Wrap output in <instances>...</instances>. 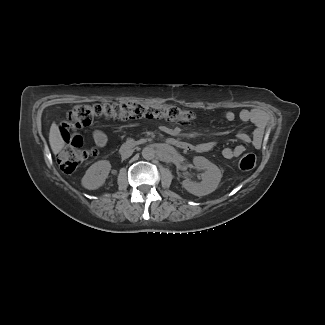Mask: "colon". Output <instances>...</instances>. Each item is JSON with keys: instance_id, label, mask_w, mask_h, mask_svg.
<instances>
[{"instance_id": "colon-1", "label": "colon", "mask_w": 325, "mask_h": 325, "mask_svg": "<svg viewBox=\"0 0 325 325\" xmlns=\"http://www.w3.org/2000/svg\"><path fill=\"white\" fill-rule=\"evenodd\" d=\"M104 117L111 120H131L140 118H163L181 124H190L195 119L192 112L182 110L174 105L165 103H115V104H80L66 114V122L72 127L83 129L89 127L93 120ZM96 155L94 150H85L80 147H64L58 154L57 160L60 169L71 173L82 165L88 158ZM256 156L253 153H244L238 162L241 170H251L256 166Z\"/></svg>"}]
</instances>
